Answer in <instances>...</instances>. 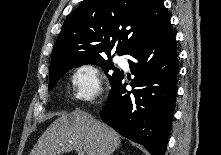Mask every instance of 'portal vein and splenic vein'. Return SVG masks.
Masks as SVG:
<instances>
[{"label": "portal vein and splenic vein", "instance_id": "obj_1", "mask_svg": "<svg viewBox=\"0 0 221 155\" xmlns=\"http://www.w3.org/2000/svg\"><path fill=\"white\" fill-rule=\"evenodd\" d=\"M68 150H71V149H74L78 152V155H85V153L82 151L81 148H78V147H68L67 148Z\"/></svg>", "mask_w": 221, "mask_h": 155}]
</instances>
